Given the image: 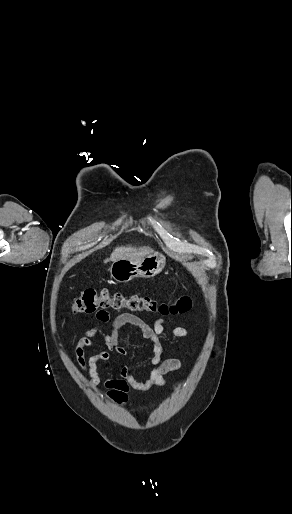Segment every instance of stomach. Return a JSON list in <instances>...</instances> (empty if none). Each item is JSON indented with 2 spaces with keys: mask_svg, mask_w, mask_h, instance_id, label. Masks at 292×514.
I'll return each mask as SVG.
<instances>
[{
  "mask_svg": "<svg viewBox=\"0 0 292 514\" xmlns=\"http://www.w3.org/2000/svg\"><path fill=\"white\" fill-rule=\"evenodd\" d=\"M166 264V258L162 254L152 252L143 256L140 260H115L109 268L111 278L116 282H130L134 278H153L162 272Z\"/></svg>",
  "mask_w": 292,
  "mask_h": 514,
  "instance_id": "stomach-1",
  "label": "stomach"
}]
</instances>
